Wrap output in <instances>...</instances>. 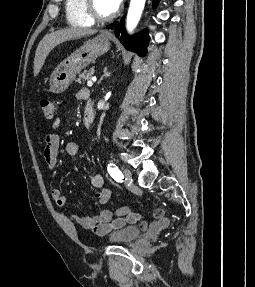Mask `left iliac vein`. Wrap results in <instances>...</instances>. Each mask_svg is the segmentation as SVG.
Segmentation results:
<instances>
[{
    "label": "left iliac vein",
    "mask_w": 255,
    "mask_h": 287,
    "mask_svg": "<svg viewBox=\"0 0 255 287\" xmlns=\"http://www.w3.org/2000/svg\"><path fill=\"white\" fill-rule=\"evenodd\" d=\"M123 175H124V182L128 185L131 184L132 181V174L131 171L129 169H124L123 170Z\"/></svg>",
    "instance_id": "obj_1"
}]
</instances>
